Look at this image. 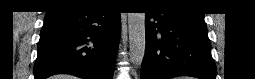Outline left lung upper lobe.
I'll use <instances>...</instances> for the list:
<instances>
[{"instance_id":"5c2ea615","label":"left lung upper lobe","mask_w":255,"mask_h":79,"mask_svg":"<svg viewBox=\"0 0 255 79\" xmlns=\"http://www.w3.org/2000/svg\"><path fill=\"white\" fill-rule=\"evenodd\" d=\"M160 2H162L163 4H166V5H171V6H177L176 4L178 3L175 0H163V1H160Z\"/></svg>"}]
</instances>
